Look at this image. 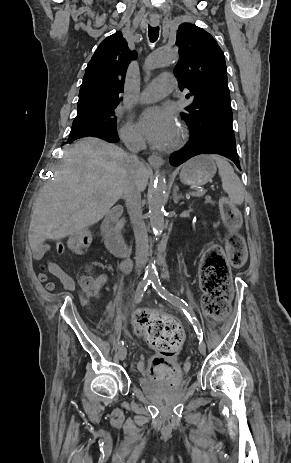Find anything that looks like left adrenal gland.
<instances>
[{"mask_svg":"<svg viewBox=\"0 0 291 463\" xmlns=\"http://www.w3.org/2000/svg\"><path fill=\"white\" fill-rule=\"evenodd\" d=\"M182 198V195L177 194V191L173 192V201L175 204H178L179 200Z\"/></svg>","mask_w":291,"mask_h":463,"instance_id":"1","label":"left adrenal gland"}]
</instances>
